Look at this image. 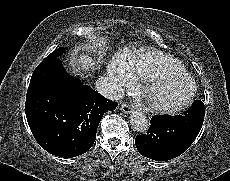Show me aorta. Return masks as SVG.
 <instances>
[{"label": "aorta", "instance_id": "1", "mask_svg": "<svg viewBox=\"0 0 230 181\" xmlns=\"http://www.w3.org/2000/svg\"><path fill=\"white\" fill-rule=\"evenodd\" d=\"M132 128L139 133H146L149 129L150 122L146 115L140 111H133L130 117Z\"/></svg>", "mask_w": 230, "mask_h": 181}]
</instances>
